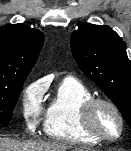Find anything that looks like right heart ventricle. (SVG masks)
Wrapping results in <instances>:
<instances>
[{
	"label": "right heart ventricle",
	"mask_w": 131,
	"mask_h": 151,
	"mask_svg": "<svg viewBox=\"0 0 131 151\" xmlns=\"http://www.w3.org/2000/svg\"><path fill=\"white\" fill-rule=\"evenodd\" d=\"M92 96L91 91L73 77L64 78L48 102L44 116V132L54 140L95 145L97 139L85 132L81 125V108Z\"/></svg>",
	"instance_id": "1"
}]
</instances>
